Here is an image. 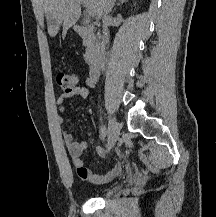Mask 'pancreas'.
Masks as SVG:
<instances>
[{
  "instance_id": "1",
  "label": "pancreas",
  "mask_w": 216,
  "mask_h": 217,
  "mask_svg": "<svg viewBox=\"0 0 216 217\" xmlns=\"http://www.w3.org/2000/svg\"><path fill=\"white\" fill-rule=\"evenodd\" d=\"M90 32V29L88 31H85L82 35V38H83V43L85 46L88 45V33Z\"/></svg>"
}]
</instances>
